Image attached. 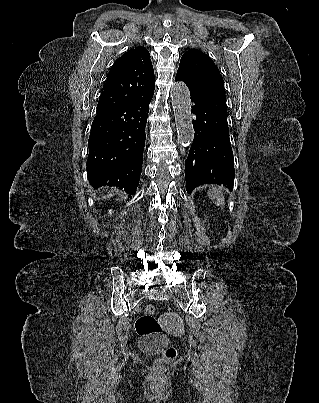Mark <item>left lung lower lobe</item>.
I'll list each match as a JSON object with an SVG mask.
<instances>
[{
  "label": "left lung lower lobe",
  "mask_w": 319,
  "mask_h": 403,
  "mask_svg": "<svg viewBox=\"0 0 319 403\" xmlns=\"http://www.w3.org/2000/svg\"><path fill=\"white\" fill-rule=\"evenodd\" d=\"M176 80L190 90L194 139L185 164L186 190L191 193L203 184L224 185L232 189L234 160L229 139L225 93L188 83L177 73Z\"/></svg>",
  "instance_id": "1"
}]
</instances>
